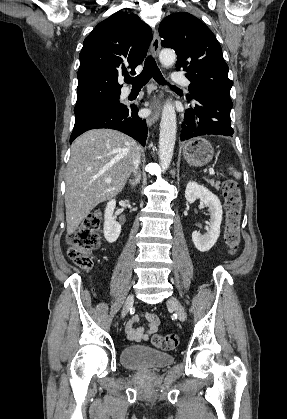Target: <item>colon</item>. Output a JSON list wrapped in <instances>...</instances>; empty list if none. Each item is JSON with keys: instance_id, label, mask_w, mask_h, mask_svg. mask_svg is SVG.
<instances>
[{"instance_id": "obj_1", "label": "colon", "mask_w": 287, "mask_h": 419, "mask_svg": "<svg viewBox=\"0 0 287 419\" xmlns=\"http://www.w3.org/2000/svg\"><path fill=\"white\" fill-rule=\"evenodd\" d=\"M222 195L226 210L224 240L230 254L237 252L240 246V225L243 202L238 184L233 180L222 183ZM102 212L96 209L89 213L81 225L68 237L67 254L76 266L84 270L93 267L92 253L100 244V226ZM153 345L161 350H173L179 344L175 334L155 335Z\"/></svg>"}]
</instances>
